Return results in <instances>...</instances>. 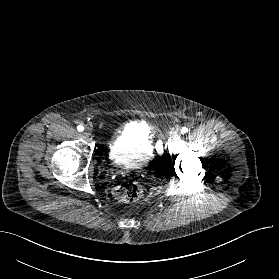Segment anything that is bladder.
<instances>
[{"label": "bladder", "mask_w": 279, "mask_h": 279, "mask_svg": "<svg viewBox=\"0 0 279 279\" xmlns=\"http://www.w3.org/2000/svg\"><path fill=\"white\" fill-rule=\"evenodd\" d=\"M108 154L123 168L142 167L149 163L154 157L149 126L139 121L124 124L110 141Z\"/></svg>", "instance_id": "bladder-1"}]
</instances>
